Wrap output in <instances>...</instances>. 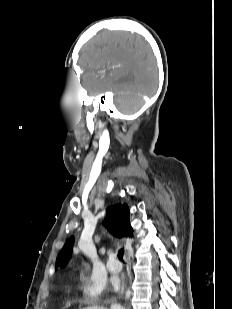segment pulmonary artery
Here are the masks:
<instances>
[{"label": "pulmonary artery", "mask_w": 232, "mask_h": 309, "mask_svg": "<svg viewBox=\"0 0 232 309\" xmlns=\"http://www.w3.org/2000/svg\"><path fill=\"white\" fill-rule=\"evenodd\" d=\"M106 267L111 273H119L122 270V265L111 255L106 261Z\"/></svg>", "instance_id": "1"}]
</instances>
